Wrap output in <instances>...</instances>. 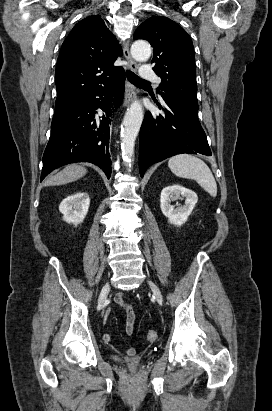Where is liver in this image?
<instances>
[{
  "instance_id": "1",
  "label": "liver",
  "mask_w": 272,
  "mask_h": 411,
  "mask_svg": "<svg viewBox=\"0 0 272 411\" xmlns=\"http://www.w3.org/2000/svg\"><path fill=\"white\" fill-rule=\"evenodd\" d=\"M86 172L87 170L85 167L78 164H70L56 175L49 177L44 185L53 186L67 184L81 178Z\"/></svg>"
}]
</instances>
